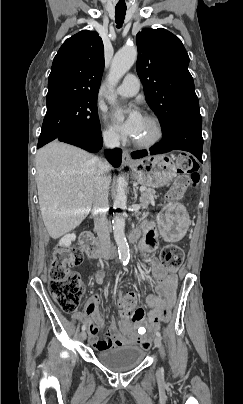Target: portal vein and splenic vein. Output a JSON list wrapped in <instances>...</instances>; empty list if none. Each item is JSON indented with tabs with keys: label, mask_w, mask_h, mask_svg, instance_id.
I'll return each mask as SVG.
<instances>
[{
	"label": "portal vein and splenic vein",
	"mask_w": 243,
	"mask_h": 404,
	"mask_svg": "<svg viewBox=\"0 0 243 404\" xmlns=\"http://www.w3.org/2000/svg\"><path fill=\"white\" fill-rule=\"evenodd\" d=\"M144 190H147V188H140V192H144ZM78 196H83V194H78Z\"/></svg>",
	"instance_id": "1"
}]
</instances>
